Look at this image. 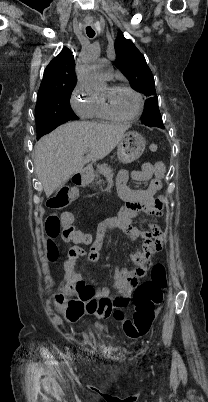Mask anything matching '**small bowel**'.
I'll return each instance as SVG.
<instances>
[{
  "instance_id": "1",
  "label": "small bowel",
  "mask_w": 208,
  "mask_h": 402,
  "mask_svg": "<svg viewBox=\"0 0 208 402\" xmlns=\"http://www.w3.org/2000/svg\"><path fill=\"white\" fill-rule=\"evenodd\" d=\"M165 174V165L158 161L156 163L144 162L140 169L136 170H121L116 180L118 194L125 205L119 212V220L116 221H101L98 230L94 233L97 238L89 253V259L96 261L99 257L101 242L105 241L107 233L105 228L114 231L116 227H120L127 236L132 240H143V248L132 255L134 267L132 270H115L113 273V284L119 292V296L114 298L112 302L117 307H123L128 302V296L133 287L137 284L139 278L146 275L150 266V260L155 251L161 249L164 245L166 234L165 231L158 227L153 222L149 221V230H141L131 225V220L143 214L161 215L165 206V198L163 196L155 197L157 191L161 188L162 178ZM129 180L149 184L142 189H130L128 187ZM71 242L89 243L91 237L89 235L71 237ZM64 280H69V295H76L81 299L90 297L107 298V291L95 290L88 283V279L79 271L78 267H66ZM97 317H103L96 314ZM71 322H67V329H74L76 324L81 322L79 315H73L70 318Z\"/></svg>"
}]
</instances>
